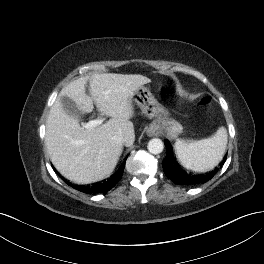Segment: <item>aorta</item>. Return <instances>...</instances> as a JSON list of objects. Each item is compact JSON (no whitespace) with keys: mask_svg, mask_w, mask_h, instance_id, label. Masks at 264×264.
Segmentation results:
<instances>
[{"mask_svg":"<svg viewBox=\"0 0 264 264\" xmlns=\"http://www.w3.org/2000/svg\"><path fill=\"white\" fill-rule=\"evenodd\" d=\"M148 151L151 154H160L164 149V144L161 139L154 138L148 142Z\"/></svg>","mask_w":264,"mask_h":264,"instance_id":"762f6f07","label":"aorta"}]
</instances>
